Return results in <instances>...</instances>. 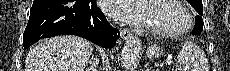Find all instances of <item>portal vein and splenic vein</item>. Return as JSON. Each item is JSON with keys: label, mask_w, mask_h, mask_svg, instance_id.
Listing matches in <instances>:
<instances>
[{"label": "portal vein and splenic vein", "mask_w": 230, "mask_h": 71, "mask_svg": "<svg viewBox=\"0 0 230 71\" xmlns=\"http://www.w3.org/2000/svg\"><path fill=\"white\" fill-rule=\"evenodd\" d=\"M167 63H171V61H167Z\"/></svg>", "instance_id": "18ae733b"}]
</instances>
